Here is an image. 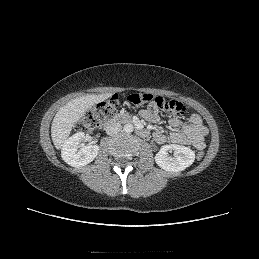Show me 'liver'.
I'll return each mask as SVG.
<instances>
[{
  "instance_id": "1",
  "label": "liver",
  "mask_w": 259,
  "mask_h": 259,
  "mask_svg": "<svg viewBox=\"0 0 259 259\" xmlns=\"http://www.w3.org/2000/svg\"><path fill=\"white\" fill-rule=\"evenodd\" d=\"M111 93L86 95L75 98L62 106L56 113L51 125L54 146L61 149L76 123L92 106L109 98Z\"/></svg>"
}]
</instances>
